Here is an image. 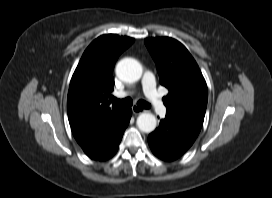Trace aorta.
<instances>
[{
  "mask_svg": "<svg viewBox=\"0 0 272 198\" xmlns=\"http://www.w3.org/2000/svg\"><path fill=\"white\" fill-rule=\"evenodd\" d=\"M116 75L124 82H136L142 76V66L135 59L124 58L116 66ZM137 126L140 131L150 133L157 126L156 117L151 113H142L137 118Z\"/></svg>",
  "mask_w": 272,
  "mask_h": 198,
  "instance_id": "obj_1",
  "label": "aorta"
}]
</instances>
